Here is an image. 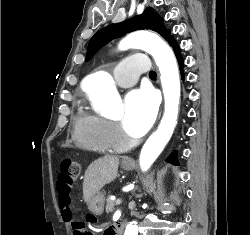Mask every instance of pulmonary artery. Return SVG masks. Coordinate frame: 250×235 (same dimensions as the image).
I'll use <instances>...</instances> for the list:
<instances>
[{"label":"pulmonary artery","instance_id":"pulmonary-artery-1","mask_svg":"<svg viewBox=\"0 0 250 235\" xmlns=\"http://www.w3.org/2000/svg\"><path fill=\"white\" fill-rule=\"evenodd\" d=\"M150 70V63L143 53L132 54L122 61L115 70V81L123 88L131 87L142 72Z\"/></svg>","mask_w":250,"mask_h":235}]
</instances>
